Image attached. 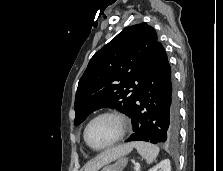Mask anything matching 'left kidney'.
<instances>
[{
  "label": "left kidney",
  "instance_id": "5707ae66",
  "mask_svg": "<svg viewBox=\"0 0 223 171\" xmlns=\"http://www.w3.org/2000/svg\"><path fill=\"white\" fill-rule=\"evenodd\" d=\"M148 171H171V164L169 159L162 160L159 164Z\"/></svg>",
  "mask_w": 223,
  "mask_h": 171
}]
</instances>
